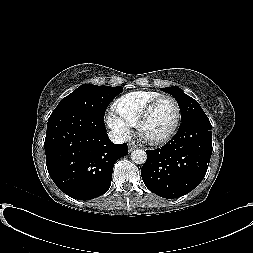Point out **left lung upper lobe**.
Segmentation results:
<instances>
[{
    "instance_id": "1",
    "label": "left lung upper lobe",
    "mask_w": 253,
    "mask_h": 253,
    "mask_svg": "<svg viewBox=\"0 0 253 253\" xmlns=\"http://www.w3.org/2000/svg\"><path fill=\"white\" fill-rule=\"evenodd\" d=\"M162 91L169 93L175 97L181 111V121L192 117L206 116L199 103L186 95L178 87L161 88Z\"/></svg>"
}]
</instances>
